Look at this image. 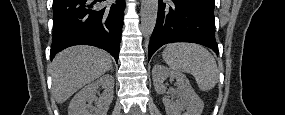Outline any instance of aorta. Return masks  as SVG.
Listing matches in <instances>:
<instances>
[{
	"label": "aorta",
	"instance_id": "obj_1",
	"mask_svg": "<svg viewBox=\"0 0 285 115\" xmlns=\"http://www.w3.org/2000/svg\"><path fill=\"white\" fill-rule=\"evenodd\" d=\"M158 13V0L141 1V31L145 38H149L155 28Z\"/></svg>",
	"mask_w": 285,
	"mask_h": 115
}]
</instances>
